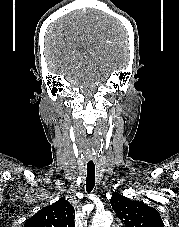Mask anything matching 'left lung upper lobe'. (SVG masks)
Segmentation results:
<instances>
[{"instance_id": "5c2ea615", "label": "left lung upper lobe", "mask_w": 179, "mask_h": 227, "mask_svg": "<svg viewBox=\"0 0 179 227\" xmlns=\"http://www.w3.org/2000/svg\"><path fill=\"white\" fill-rule=\"evenodd\" d=\"M111 206L126 227H164L159 212L140 201L113 192Z\"/></svg>"}]
</instances>
